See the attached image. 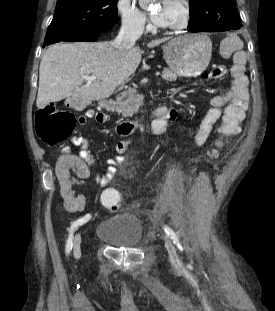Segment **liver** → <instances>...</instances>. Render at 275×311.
Listing matches in <instances>:
<instances>
[{
    "label": "liver",
    "instance_id": "obj_1",
    "mask_svg": "<svg viewBox=\"0 0 275 311\" xmlns=\"http://www.w3.org/2000/svg\"><path fill=\"white\" fill-rule=\"evenodd\" d=\"M165 37L148 43L152 48L169 40ZM142 51L132 47L120 51L112 42L59 43L44 53L39 68L36 105L43 109L52 102L78 97L86 103L108 98L139 66ZM96 80L83 85V75Z\"/></svg>",
    "mask_w": 275,
    "mask_h": 311
}]
</instances>
